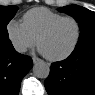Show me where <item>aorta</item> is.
Instances as JSON below:
<instances>
[{"label": "aorta", "mask_w": 95, "mask_h": 95, "mask_svg": "<svg viewBox=\"0 0 95 95\" xmlns=\"http://www.w3.org/2000/svg\"><path fill=\"white\" fill-rule=\"evenodd\" d=\"M33 73L37 78L46 79L50 73V66L44 61H39L34 64Z\"/></svg>", "instance_id": "obj_1"}]
</instances>
